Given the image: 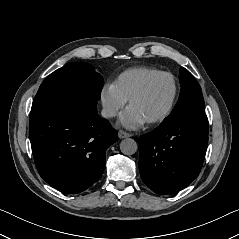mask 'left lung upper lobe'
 Instances as JSON below:
<instances>
[{"mask_svg": "<svg viewBox=\"0 0 239 239\" xmlns=\"http://www.w3.org/2000/svg\"><path fill=\"white\" fill-rule=\"evenodd\" d=\"M181 91L172 113L162 124L169 123L189 112H205L202 90L194 76L185 68L180 69Z\"/></svg>", "mask_w": 239, "mask_h": 239, "instance_id": "left-lung-upper-lobe-1", "label": "left lung upper lobe"}]
</instances>
